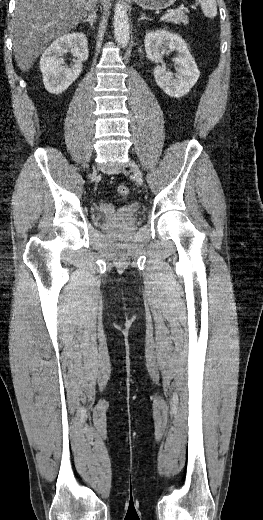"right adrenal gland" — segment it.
I'll list each match as a JSON object with an SVG mask.
<instances>
[{"label": "right adrenal gland", "mask_w": 263, "mask_h": 520, "mask_svg": "<svg viewBox=\"0 0 263 520\" xmlns=\"http://www.w3.org/2000/svg\"><path fill=\"white\" fill-rule=\"evenodd\" d=\"M96 13L95 11H92L89 13L88 17L82 20V23H89L91 27H93L94 23L96 22Z\"/></svg>", "instance_id": "obj_1"}]
</instances>
